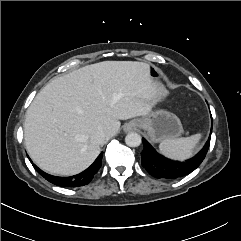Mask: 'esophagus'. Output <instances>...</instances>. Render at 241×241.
<instances>
[{"mask_svg":"<svg viewBox=\"0 0 241 241\" xmlns=\"http://www.w3.org/2000/svg\"><path fill=\"white\" fill-rule=\"evenodd\" d=\"M135 127L134 123H129L125 126V130L126 131H130L131 129H133Z\"/></svg>","mask_w":241,"mask_h":241,"instance_id":"34e87169","label":"esophagus"}]
</instances>
